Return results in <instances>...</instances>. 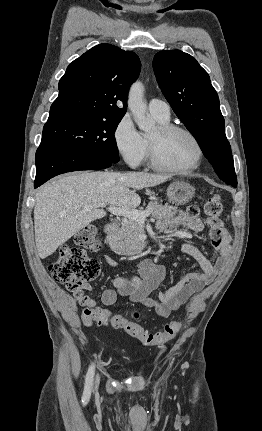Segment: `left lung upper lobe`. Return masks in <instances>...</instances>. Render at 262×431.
Here are the masks:
<instances>
[{
	"label": "left lung upper lobe",
	"mask_w": 262,
	"mask_h": 431,
	"mask_svg": "<svg viewBox=\"0 0 262 431\" xmlns=\"http://www.w3.org/2000/svg\"><path fill=\"white\" fill-rule=\"evenodd\" d=\"M153 68L165 98L195 137L219 178L236 187L225 121L208 73L195 58L180 50L158 52Z\"/></svg>",
	"instance_id": "1"
}]
</instances>
